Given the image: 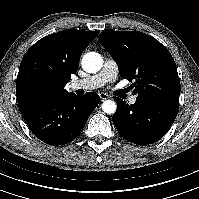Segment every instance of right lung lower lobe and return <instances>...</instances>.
<instances>
[{"mask_svg": "<svg viewBox=\"0 0 199 199\" xmlns=\"http://www.w3.org/2000/svg\"><path fill=\"white\" fill-rule=\"evenodd\" d=\"M99 101L100 97L94 92L84 96L72 93L32 107L22 116L41 141L49 145H64L81 134Z\"/></svg>", "mask_w": 199, "mask_h": 199, "instance_id": "98d812e1", "label": "right lung lower lobe"}]
</instances>
